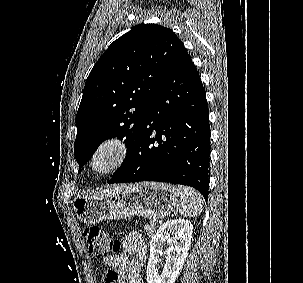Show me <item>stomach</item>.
Wrapping results in <instances>:
<instances>
[{
	"mask_svg": "<svg viewBox=\"0 0 303 283\" xmlns=\"http://www.w3.org/2000/svg\"><path fill=\"white\" fill-rule=\"evenodd\" d=\"M72 203L77 217L88 224L135 215L158 219L168 216L178 206L179 190L171 184L159 182L118 185L78 195Z\"/></svg>",
	"mask_w": 303,
	"mask_h": 283,
	"instance_id": "1",
	"label": "stomach"
}]
</instances>
